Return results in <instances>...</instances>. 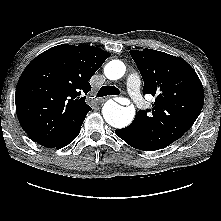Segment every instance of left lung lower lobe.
Returning <instances> with one entry per match:
<instances>
[{"label": "left lung lower lobe", "mask_w": 221, "mask_h": 221, "mask_svg": "<svg viewBox=\"0 0 221 221\" xmlns=\"http://www.w3.org/2000/svg\"><path fill=\"white\" fill-rule=\"evenodd\" d=\"M115 133L130 146L136 149L143 150L136 143L135 132H134V129L130 125L126 128L115 130Z\"/></svg>", "instance_id": "1"}]
</instances>
